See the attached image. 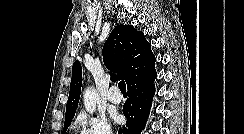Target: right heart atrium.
I'll return each mask as SVG.
<instances>
[{"instance_id":"1","label":"right heart atrium","mask_w":244,"mask_h":134,"mask_svg":"<svg viewBox=\"0 0 244 134\" xmlns=\"http://www.w3.org/2000/svg\"><path fill=\"white\" fill-rule=\"evenodd\" d=\"M78 123L81 128V134H113V130L104 116H88L80 114Z\"/></svg>"}]
</instances>
